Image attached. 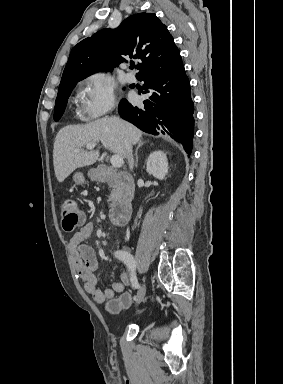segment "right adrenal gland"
Here are the masks:
<instances>
[{
  "mask_svg": "<svg viewBox=\"0 0 283 384\" xmlns=\"http://www.w3.org/2000/svg\"><path fill=\"white\" fill-rule=\"evenodd\" d=\"M137 144H138V146H137V148H136V150H135V156H136V160H135V168H137V166H138V156H137V152H138L140 146H143V144H145V142H141V140H140V142H137Z\"/></svg>",
  "mask_w": 283,
  "mask_h": 384,
  "instance_id": "right-adrenal-gland-1",
  "label": "right adrenal gland"
}]
</instances>
